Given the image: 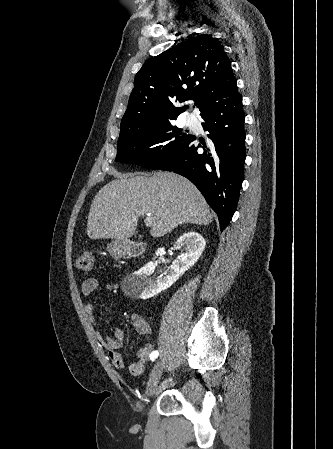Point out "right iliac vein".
I'll return each mask as SVG.
<instances>
[{"instance_id": "1", "label": "right iliac vein", "mask_w": 333, "mask_h": 449, "mask_svg": "<svg viewBox=\"0 0 333 449\" xmlns=\"http://www.w3.org/2000/svg\"><path fill=\"white\" fill-rule=\"evenodd\" d=\"M163 371V363L161 361H157L149 378L147 388H146V397H151L157 388V385L160 381L161 375Z\"/></svg>"}]
</instances>
